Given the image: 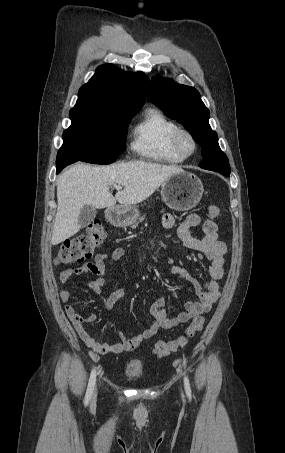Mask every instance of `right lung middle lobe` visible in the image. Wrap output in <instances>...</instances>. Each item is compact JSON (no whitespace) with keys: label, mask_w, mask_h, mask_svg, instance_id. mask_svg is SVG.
Returning a JSON list of instances; mask_svg holds the SVG:
<instances>
[{"label":"right lung middle lobe","mask_w":285,"mask_h":453,"mask_svg":"<svg viewBox=\"0 0 285 453\" xmlns=\"http://www.w3.org/2000/svg\"><path fill=\"white\" fill-rule=\"evenodd\" d=\"M137 111L74 107L71 126L63 133L60 157L74 162L110 164L126 149V129Z\"/></svg>","instance_id":"right-lung-middle-lobe-1"}]
</instances>
